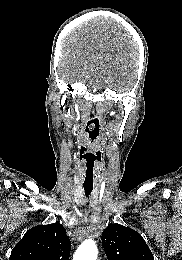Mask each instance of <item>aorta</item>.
I'll use <instances>...</instances> for the list:
<instances>
[{"label":"aorta","mask_w":182,"mask_h":260,"mask_svg":"<svg viewBox=\"0 0 182 260\" xmlns=\"http://www.w3.org/2000/svg\"><path fill=\"white\" fill-rule=\"evenodd\" d=\"M98 249L92 239L85 240L76 250L73 260H96Z\"/></svg>","instance_id":"1"}]
</instances>
